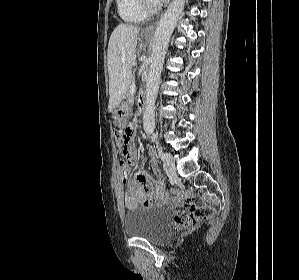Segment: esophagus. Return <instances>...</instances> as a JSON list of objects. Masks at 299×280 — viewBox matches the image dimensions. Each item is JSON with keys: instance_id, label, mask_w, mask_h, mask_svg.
Segmentation results:
<instances>
[{"instance_id": "esophagus-1", "label": "esophagus", "mask_w": 299, "mask_h": 280, "mask_svg": "<svg viewBox=\"0 0 299 280\" xmlns=\"http://www.w3.org/2000/svg\"><path fill=\"white\" fill-rule=\"evenodd\" d=\"M157 26V21L151 23L150 25L146 26L144 29H143V32L144 33H147V34H153L155 28Z\"/></svg>"}]
</instances>
